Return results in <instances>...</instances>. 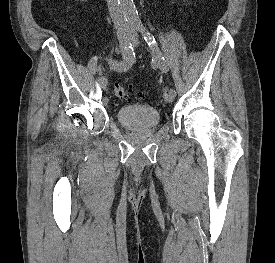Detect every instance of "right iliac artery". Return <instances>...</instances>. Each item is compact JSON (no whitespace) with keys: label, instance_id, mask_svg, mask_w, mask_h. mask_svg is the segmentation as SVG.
<instances>
[{"label":"right iliac artery","instance_id":"obj_1","mask_svg":"<svg viewBox=\"0 0 275 263\" xmlns=\"http://www.w3.org/2000/svg\"><path fill=\"white\" fill-rule=\"evenodd\" d=\"M134 59L135 53L133 45L130 43L126 46L125 50L123 51V59L121 62H116L112 59H108V63L112 68L116 69L117 71L125 72L132 66ZM97 60L98 58L95 56L91 58L88 63L89 70L94 74L97 72Z\"/></svg>","mask_w":275,"mask_h":263}]
</instances>
